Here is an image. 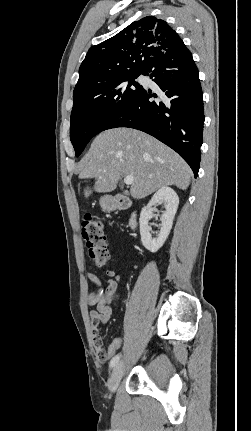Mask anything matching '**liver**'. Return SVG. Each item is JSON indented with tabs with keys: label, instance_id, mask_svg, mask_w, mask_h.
Returning a JSON list of instances; mask_svg holds the SVG:
<instances>
[{
	"label": "liver",
	"instance_id": "1",
	"mask_svg": "<svg viewBox=\"0 0 251 431\" xmlns=\"http://www.w3.org/2000/svg\"><path fill=\"white\" fill-rule=\"evenodd\" d=\"M126 176L134 177L130 195L142 199L169 185L186 190L192 171L175 151L146 133L131 128L101 132L92 142L79 173L80 179L96 180L93 189H84L85 198L93 190L114 191Z\"/></svg>",
	"mask_w": 251,
	"mask_h": 431
}]
</instances>
